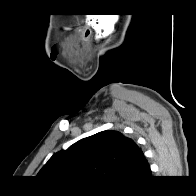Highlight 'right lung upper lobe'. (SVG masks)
<instances>
[{
    "label": "right lung upper lobe",
    "instance_id": "1",
    "mask_svg": "<svg viewBox=\"0 0 196 196\" xmlns=\"http://www.w3.org/2000/svg\"><path fill=\"white\" fill-rule=\"evenodd\" d=\"M151 174L142 150L117 131H102L55 153L37 174L53 184L97 188L138 184Z\"/></svg>",
    "mask_w": 196,
    "mask_h": 196
}]
</instances>
